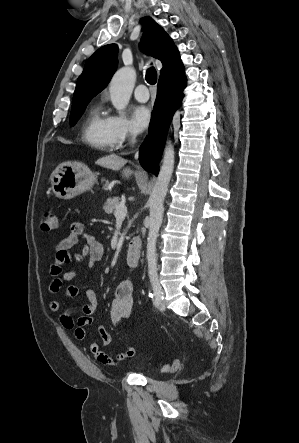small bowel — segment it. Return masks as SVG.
Segmentation results:
<instances>
[{
    "instance_id": "obj_1",
    "label": "small bowel",
    "mask_w": 299,
    "mask_h": 443,
    "mask_svg": "<svg viewBox=\"0 0 299 443\" xmlns=\"http://www.w3.org/2000/svg\"><path fill=\"white\" fill-rule=\"evenodd\" d=\"M83 242L82 248L78 253H71L70 250ZM104 244L99 241L94 235L85 232L84 225L81 222H74L70 227V231L66 237L61 239L55 249L54 262L50 266L49 274L52 281L49 285L50 294H58L62 287L72 280H74L78 273L76 270L63 271L62 266L70 263L72 260L81 262L86 260L87 267L94 269L98 262L104 256ZM81 292L76 285H70L59 299L52 300L49 304L50 311L53 313H60L59 319L61 325L70 331H73L74 337L78 341L87 340V333L85 327L96 322L94 318V311L97 306V295L92 289H85L84 295L87 303L81 307V315L74 318L73 313L75 308H68L61 312L64 302L68 298L76 297ZM134 301V287L133 282L126 278L121 280L116 288L114 298L110 303L109 317L113 324L122 325L131 316ZM98 334L100 344L89 343V352L94 358L104 364L115 366L120 362L131 359L135 355V348L130 346L127 350L112 355L101 350V346H107L111 342V336L104 326H98Z\"/></svg>"
}]
</instances>
